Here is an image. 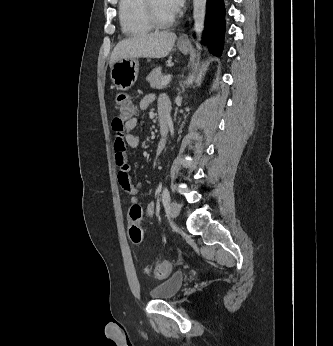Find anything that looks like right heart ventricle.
<instances>
[{
  "mask_svg": "<svg viewBox=\"0 0 333 346\" xmlns=\"http://www.w3.org/2000/svg\"><path fill=\"white\" fill-rule=\"evenodd\" d=\"M119 22L124 34L135 36L152 29L144 0H119Z\"/></svg>",
  "mask_w": 333,
  "mask_h": 346,
  "instance_id": "obj_1",
  "label": "right heart ventricle"
}]
</instances>
